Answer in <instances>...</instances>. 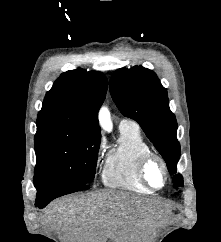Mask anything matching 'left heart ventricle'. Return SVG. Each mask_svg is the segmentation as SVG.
Masks as SVG:
<instances>
[{
	"label": "left heart ventricle",
	"mask_w": 221,
	"mask_h": 242,
	"mask_svg": "<svg viewBox=\"0 0 221 242\" xmlns=\"http://www.w3.org/2000/svg\"><path fill=\"white\" fill-rule=\"evenodd\" d=\"M147 176L154 187H161L164 183V172L158 162H152L148 166Z\"/></svg>",
	"instance_id": "b2bd125f"
}]
</instances>
